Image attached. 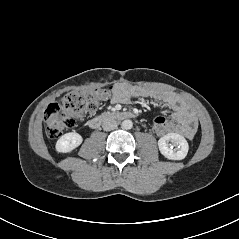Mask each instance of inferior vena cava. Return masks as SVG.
Returning <instances> with one entry per match:
<instances>
[{
	"label": "inferior vena cava",
	"instance_id": "inferior-vena-cava-1",
	"mask_svg": "<svg viewBox=\"0 0 239 239\" xmlns=\"http://www.w3.org/2000/svg\"><path fill=\"white\" fill-rule=\"evenodd\" d=\"M118 126L117 121H115L112 118H106L103 123H102V127L105 131H111L116 129Z\"/></svg>",
	"mask_w": 239,
	"mask_h": 239
}]
</instances>
